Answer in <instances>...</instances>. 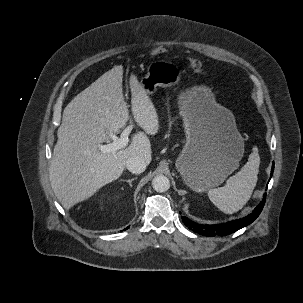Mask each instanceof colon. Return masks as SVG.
Here are the masks:
<instances>
[{"mask_svg":"<svg viewBox=\"0 0 303 303\" xmlns=\"http://www.w3.org/2000/svg\"><path fill=\"white\" fill-rule=\"evenodd\" d=\"M166 53V49L163 46H157L153 49L152 55L154 57H160ZM188 66L197 73H202L204 71L203 64L200 60L196 58H188Z\"/></svg>","mask_w":303,"mask_h":303,"instance_id":"1","label":"colon"}]
</instances>
